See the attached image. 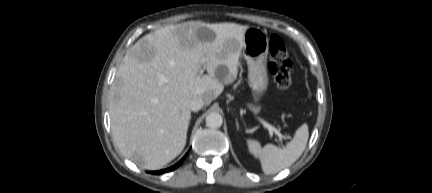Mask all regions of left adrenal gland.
Masks as SVG:
<instances>
[{"mask_svg": "<svg viewBox=\"0 0 432 193\" xmlns=\"http://www.w3.org/2000/svg\"><path fill=\"white\" fill-rule=\"evenodd\" d=\"M236 126H237V129H239V123H238L237 119H236Z\"/></svg>", "mask_w": 432, "mask_h": 193, "instance_id": "obj_1", "label": "left adrenal gland"}]
</instances>
